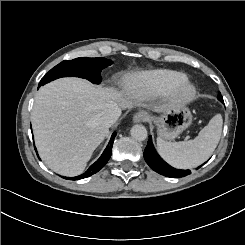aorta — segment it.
Wrapping results in <instances>:
<instances>
[{
	"mask_svg": "<svg viewBox=\"0 0 245 245\" xmlns=\"http://www.w3.org/2000/svg\"><path fill=\"white\" fill-rule=\"evenodd\" d=\"M131 136L137 141H143L147 138V130L143 125H134L131 128Z\"/></svg>",
	"mask_w": 245,
	"mask_h": 245,
	"instance_id": "762f6f07",
	"label": "aorta"
}]
</instances>
